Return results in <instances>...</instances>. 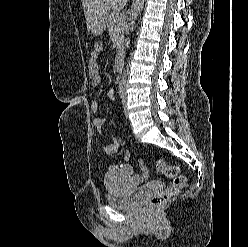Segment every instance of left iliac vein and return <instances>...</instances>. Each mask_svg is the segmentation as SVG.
<instances>
[{
  "label": "left iliac vein",
  "instance_id": "obj_1",
  "mask_svg": "<svg viewBox=\"0 0 248 247\" xmlns=\"http://www.w3.org/2000/svg\"><path fill=\"white\" fill-rule=\"evenodd\" d=\"M123 108H124L125 115L127 116V95L126 93H124V96H123Z\"/></svg>",
  "mask_w": 248,
  "mask_h": 247
}]
</instances>
